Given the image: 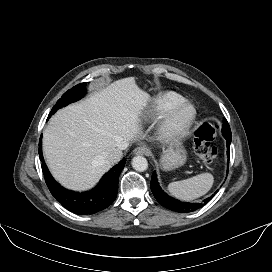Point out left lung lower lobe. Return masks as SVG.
Segmentation results:
<instances>
[{
	"label": "left lung lower lobe",
	"instance_id": "left-lung-lower-lobe-1",
	"mask_svg": "<svg viewBox=\"0 0 272 272\" xmlns=\"http://www.w3.org/2000/svg\"><path fill=\"white\" fill-rule=\"evenodd\" d=\"M223 136L226 139L227 143V155L229 158L230 155V144H231V133L230 132H223ZM229 161V159H228ZM151 190L153 192L154 197L156 200L165 208L180 212V213H188L198 210L199 208L203 207L205 204H207L211 198L215 195L213 194L211 197H208L204 199L200 203H187V202H180L179 200H176L170 196H168L160 187L156 172L153 173L150 183Z\"/></svg>",
	"mask_w": 272,
	"mask_h": 272
}]
</instances>
